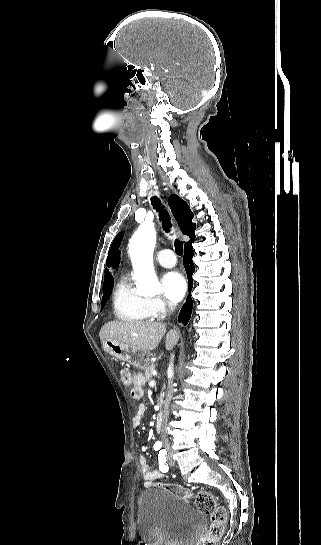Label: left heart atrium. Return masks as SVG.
<instances>
[{"mask_svg": "<svg viewBox=\"0 0 321 545\" xmlns=\"http://www.w3.org/2000/svg\"><path fill=\"white\" fill-rule=\"evenodd\" d=\"M162 290L165 298L170 302L180 300L187 288L184 277L177 271H169L161 278Z\"/></svg>", "mask_w": 321, "mask_h": 545, "instance_id": "1", "label": "left heart atrium"}]
</instances>
